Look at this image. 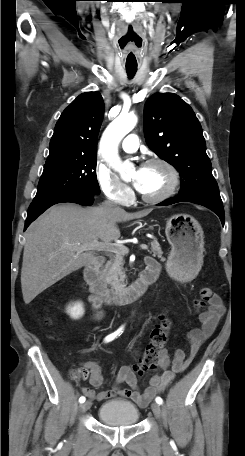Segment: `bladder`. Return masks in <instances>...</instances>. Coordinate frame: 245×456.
Returning <instances> with one entry per match:
<instances>
[{"mask_svg":"<svg viewBox=\"0 0 245 456\" xmlns=\"http://www.w3.org/2000/svg\"><path fill=\"white\" fill-rule=\"evenodd\" d=\"M138 408L129 401L114 399L100 406L98 419L105 425L120 427L134 426L138 423Z\"/></svg>","mask_w":245,"mask_h":456,"instance_id":"bladder-1","label":"bladder"}]
</instances>
